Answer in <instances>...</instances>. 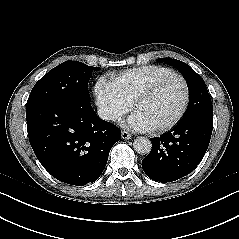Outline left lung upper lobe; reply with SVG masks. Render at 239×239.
<instances>
[{"label": "left lung upper lobe", "mask_w": 239, "mask_h": 239, "mask_svg": "<svg viewBox=\"0 0 239 239\" xmlns=\"http://www.w3.org/2000/svg\"><path fill=\"white\" fill-rule=\"evenodd\" d=\"M176 67L185 78L189 89V104L182 121L189 120L201 114L213 115V106L204 80L186 63L171 58H160Z\"/></svg>", "instance_id": "obj_1"}]
</instances>
